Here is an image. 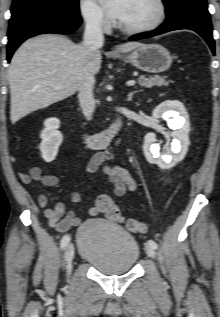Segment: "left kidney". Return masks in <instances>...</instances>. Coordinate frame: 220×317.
Masks as SVG:
<instances>
[{
  "label": "left kidney",
  "mask_w": 220,
  "mask_h": 317,
  "mask_svg": "<svg viewBox=\"0 0 220 317\" xmlns=\"http://www.w3.org/2000/svg\"><path fill=\"white\" fill-rule=\"evenodd\" d=\"M155 119L163 118L167 121L168 127L173 130L170 136L173 138L170 147L164 154H160V147L155 144L154 133H148L144 137L143 151L146 159L158 165L162 169L173 167L185 156L189 142L190 123L188 114L179 101H164L153 110Z\"/></svg>",
  "instance_id": "1"
}]
</instances>
